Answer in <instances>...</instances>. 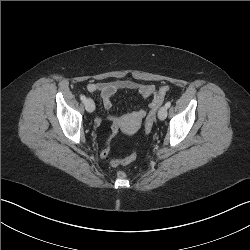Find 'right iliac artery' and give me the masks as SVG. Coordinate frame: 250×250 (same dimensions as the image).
<instances>
[{
	"mask_svg": "<svg viewBox=\"0 0 250 250\" xmlns=\"http://www.w3.org/2000/svg\"><path fill=\"white\" fill-rule=\"evenodd\" d=\"M80 99H81L83 102L86 101V97H85L84 95H81V96H80Z\"/></svg>",
	"mask_w": 250,
	"mask_h": 250,
	"instance_id": "right-iliac-artery-1",
	"label": "right iliac artery"
}]
</instances>
